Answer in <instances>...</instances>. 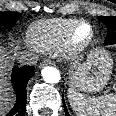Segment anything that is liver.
Returning <instances> with one entry per match:
<instances>
[{
    "instance_id": "liver-1",
    "label": "liver",
    "mask_w": 116,
    "mask_h": 116,
    "mask_svg": "<svg viewBox=\"0 0 116 116\" xmlns=\"http://www.w3.org/2000/svg\"><path fill=\"white\" fill-rule=\"evenodd\" d=\"M10 66L9 57L0 47V115L10 106L9 94L6 92L7 71Z\"/></svg>"
}]
</instances>
